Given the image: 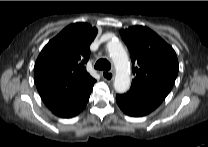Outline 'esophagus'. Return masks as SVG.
<instances>
[{"label":"esophagus","mask_w":208,"mask_h":147,"mask_svg":"<svg viewBox=\"0 0 208 147\" xmlns=\"http://www.w3.org/2000/svg\"><path fill=\"white\" fill-rule=\"evenodd\" d=\"M101 76L103 77L104 80L109 82L113 81L114 79V73L111 71H102Z\"/></svg>","instance_id":"esophagus-1"}]
</instances>
